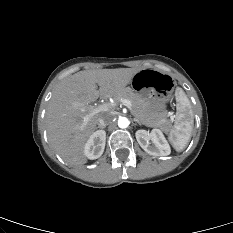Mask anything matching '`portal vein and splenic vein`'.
I'll list each match as a JSON object with an SVG mask.
<instances>
[{
	"label": "portal vein and splenic vein",
	"mask_w": 233,
	"mask_h": 233,
	"mask_svg": "<svg viewBox=\"0 0 233 233\" xmlns=\"http://www.w3.org/2000/svg\"><path fill=\"white\" fill-rule=\"evenodd\" d=\"M120 102H121L123 105H125L129 110H132V104H131V102H130L129 100H127V99H121ZM75 106H76V107H83V105L80 104V103H76ZM113 107H114V105L111 104V103H104V104H101V105H99V106H97V107L89 106V107H88L89 112H88V114L84 117V120H83L84 123H85L86 121H88V120H89L92 116H94L95 114L100 113V112L108 111V110H110V109L113 108Z\"/></svg>",
	"instance_id": "18ae733b"
}]
</instances>
